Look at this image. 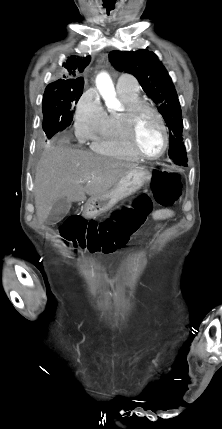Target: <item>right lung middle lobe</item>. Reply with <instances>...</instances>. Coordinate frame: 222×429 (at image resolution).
<instances>
[{
  "instance_id": "obj_1",
  "label": "right lung middle lobe",
  "mask_w": 222,
  "mask_h": 429,
  "mask_svg": "<svg viewBox=\"0 0 222 429\" xmlns=\"http://www.w3.org/2000/svg\"><path fill=\"white\" fill-rule=\"evenodd\" d=\"M83 85L78 84L65 90H45L42 127L48 138L71 127L73 109L83 93Z\"/></svg>"
}]
</instances>
